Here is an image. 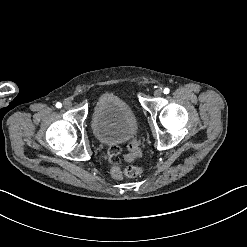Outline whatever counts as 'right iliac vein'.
Returning <instances> with one entry per match:
<instances>
[{
    "label": "right iliac vein",
    "mask_w": 247,
    "mask_h": 247,
    "mask_svg": "<svg viewBox=\"0 0 247 247\" xmlns=\"http://www.w3.org/2000/svg\"><path fill=\"white\" fill-rule=\"evenodd\" d=\"M72 106V103L69 100L64 101V107L69 109Z\"/></svg>",
    "instance_id": "63e3f726"
}]
</instances>
